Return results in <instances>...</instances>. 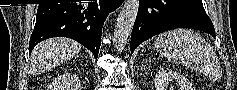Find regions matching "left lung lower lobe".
Here are the masks:
<instances>
[{
  "mask_svg": "<svg viewBox=\"0 0 237 90\" xmlns=\"http://www.w3.org/2000/svg\"><path fill=\"white\" fill-rule=\"evenodd\" d=\"M174 28H194L215 37L201 0H140L131 34V53L143 41Z\"/></svg>",
  "mask_w": 237,
  "mask_h": 90,
  "instance_id": "obj_1",
  "label": "left lung lower lobe"
}]
</instances>
